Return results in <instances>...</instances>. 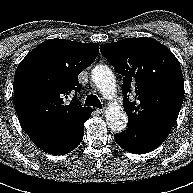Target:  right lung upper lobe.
<instances>
[{"label":"right lung upper lobe","instance_id":"cb5924a9","mask_svg":"<svg viewBox=\"0 0 193 193\" xmlns=\"http://www.w3.org/2000/svg\"><path fill=\"white\" fill-rule=\"evenodd\" d=\"M98 43L50 39L33 49L18 65L14 76V101L26 133L56 129L91 112L75 97L81 90L78 75L95 59Z\"/></svg>","mask_w":193,"mask_h":193}]
</instances>
